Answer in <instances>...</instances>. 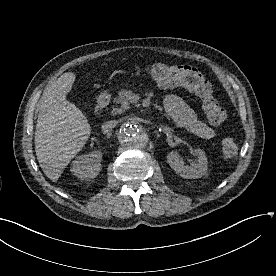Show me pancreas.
I'll list each match as a JSON object with an SVG mask.
<instances>
[{
    "instance_id": "1",
    "label": "pancreas",
    "mask_w": 276,
    "mask_h": 276,
    "mask_svg": "<svg viewBox=\"0 0 276 276\" xmlns=\"http://www.w3.org/2000/svg\"><path fill=\"white\" fill-rule=\"evenodd\" d=\"M133 95L131 90H120L118 92V97L114 99V102L120 105L119 108H114L113 113H121L122 111L129 108L130 103L132 102L131 96Z\"/></svg>"
}]
</instances>
